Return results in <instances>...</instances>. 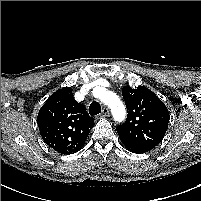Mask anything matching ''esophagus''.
Here are the masks:
<instances>
[{
	"mask_svg": "<svg viewBox=\"0 0 201 201\" xmlns=\"http://www.w3.org/2000/svg\"><path fill=\"white\" fill-rule=\"evenodd\" d=\"M109 108L107 107H104L103 110H102V113L99 115V117H107L109 116Z\"/></svg>",
	"mask_w": 201,
	"mask_h": 201,
	"instance_id": "obj_1",
	"label": "esophagus"
}]
</instances>
